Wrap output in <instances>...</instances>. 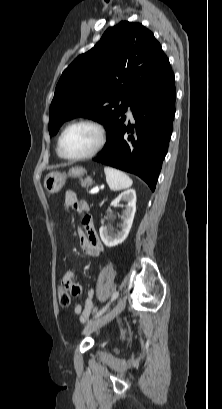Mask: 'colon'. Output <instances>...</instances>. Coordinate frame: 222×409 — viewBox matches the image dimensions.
Masks as SVG:
<instances>
[{
    "label": "colon",
    "mask_w": 222,
    "mask_h": 409,
    "mask_svg": "<svg viewBox=\"0 0 222 409\" xmlns=\"http://www.w3.org/2000/svg\"><path fill=\"white\" fill-rule=\"evenodd\" d=\"M72 276H73V274H72ZM70 290L71 289L69 288V285L67 286V285L64 284V282H62V285H61V287L59 288V291H58V300H59L60 305L63 306V307H69L70 304H71V297L72 296L70 295ZM98 310H99V307L95 306V307H93V309L90 310V313L95 314L96 317H100L101 313L98 312Z\"/></svg>",
    "instance_id": "1"
}]
</instances>
